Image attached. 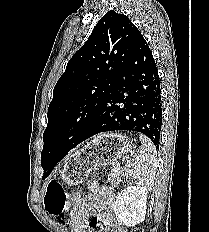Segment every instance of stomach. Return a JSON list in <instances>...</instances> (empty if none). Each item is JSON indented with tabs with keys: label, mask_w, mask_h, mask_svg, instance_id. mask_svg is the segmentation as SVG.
I'll list each match as a JSON object with an SVG mask.
<instances>
[{
	"label": "stomach",
	"mask_w": 209,
	"mask_h": 232,
	"mask_svg": "<svg viewBox=\"0 0 209 232\" xmlns=\"http://www.w3.org/2000/svg\"><path fill=\"white\" fill-rule=\"evenodd\" d=\"M131 149L132 142L127 136L117 133L98 135L70 157L61 177L68 185H79L93 170L114 163Z\"/></svg>",
	"instance_id": "stomach-1"
}]
</instances>
